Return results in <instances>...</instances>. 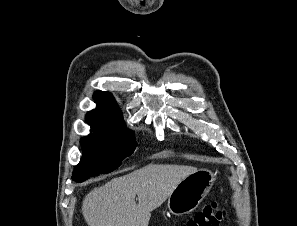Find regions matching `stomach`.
Segmentation results:
<instances>
[{
	"instance_id": "0dacf381",
	"label": "stomach",
	"mask_w": 297,
	"mask_h": 226,
	"mask_svg": "<svg viewBox=\"0 0 297 226\" xmlns=\"http://www.w3.org/2000/svg\"><path fill=\"white\" fill-rule=\"evenodd\" d=\"M215 175L207 169H199L182 179L168 197L169 211L177 216L194 211L209 192Z\"/></svg>"
}]
</instances>
